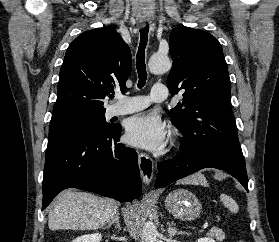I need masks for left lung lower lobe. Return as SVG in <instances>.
Here are the masks:
<instances>
[{
	"mask_svg": "<svg viewBox=\"0 0 279 242\" xmlns=\"http://www.w3.org/2000/svg\"><path fill=\"white\" fill-rule=\"evenodd\" d=\"M203 168H217L235 177L248 191V178L243 155L222 150L181 152L171 160L158 163L155 188L195 173Z\"/></svg>",
	"mask_w": 279,
	"mask_h": 242,
	"instance_id": "1",
	"label": "left lung lower lobe"
}]
</instances>
